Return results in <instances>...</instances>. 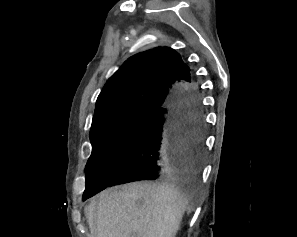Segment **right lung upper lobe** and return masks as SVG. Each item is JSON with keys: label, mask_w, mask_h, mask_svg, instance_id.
I'll use <instances>...</instances> for the list:
<instances>
[{"label": "right lung upper lobe", "mask_w": 297, "mask_h": 237, "mask_svg": "<svg viewBox=\"0 0 297 237\" xmlns=\"http://www.w3.org/2000/svg\"><path fill=\"white\" fill-rule=\"evenodd\" d=\"M193 80L190 69L172 48L138 53L105 84L96 101L91 128L114 117L151 114L167 105L175 88Z\"/></svg>", "instance_id": "right-lung-upper-lobe-1"}]
</instances>
